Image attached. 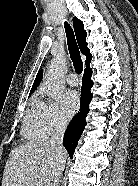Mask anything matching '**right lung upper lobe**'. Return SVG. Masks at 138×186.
I'll return each mask as SVG.
<instances>
[{"label": "right lung upper lobe", "mask_w": 138, "mask_h": 186, "mask_svg": "<svg viewBox=\"0 0 138 186\" xmlns=\"http://www.w3.org/2000/svg\"><path fill=\"white\" fill-rule=\"evenodd\" d=\"M73 26H74V31H75V35H76V39H77L80 51L82 54L86 56L85 64L87 67L85 68V72H92L91 68L89 67L91 59H92V55L89 49L87 48V42L85 40L87 33L84 30V25L81 20L74 17ZM42 76H43V71L40 70L35 78L30 94L33 93L35 89L38 87V85L40 84Z\"/></svg>", "instance_id": "obj_1"}]
</instances>
